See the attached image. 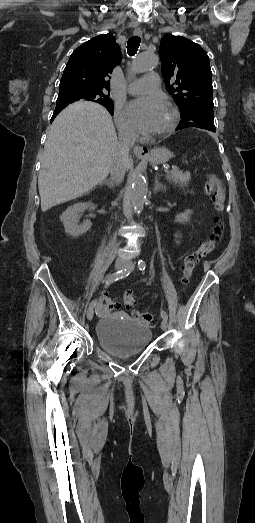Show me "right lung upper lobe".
<instances>
[{
	"label": "right lung upper lobe",
	"mask_w": 255,
	"mask_h": 523,
	"mask_svg": "<svg viewBox=\"0 0 255 523\" xmlns=\"http://www.w3.org/2000/svg\"><path fill=\"white\" fill-rule=\"evenodd\" d=\"M121 61V50L115 37L108 33L96 36L79 46L70 56L60 81V90L79 89L109 94V75ZM69 102H58L53 119ZM99 104L113 114L112 100Z\"/></svg>",
	"instance_id": "1"
}]
</instances>
